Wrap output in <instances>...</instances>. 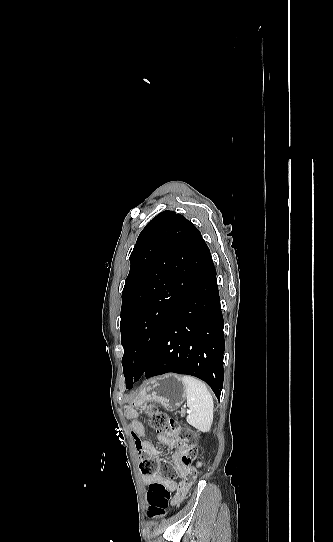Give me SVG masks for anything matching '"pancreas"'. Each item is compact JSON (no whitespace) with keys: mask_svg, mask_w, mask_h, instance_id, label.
<instances>
[{"mask_svg":"<svg viewBox=\"0 0 333 542\" xmlns=\"http://www.w3.org/2000/svg\"><path fill=\"white\" fill-rule=\"evenodd\" d=\"M175 414H180L181 418H184L185 412H175Z\"/></svg>","mask_w":333,"mask_h":542,"instance_id":"obj_1","label":"pancreas"}]
</instances>
